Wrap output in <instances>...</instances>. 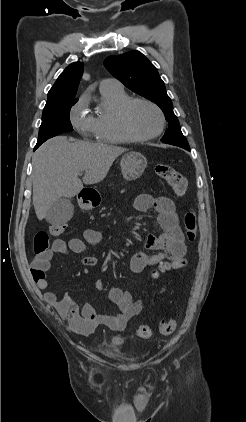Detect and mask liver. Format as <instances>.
<instances>
[{
    "instance_id": "liver-1",
    "label": "liver",
    "mask_w": 246,
    "mask_h": 422,
    "mask_svg": "<svg viewBox=\"0 0 246 422\" xmlns=\"http://www.w3.org/2000/svg\"><path fill=\"white\" fill-rule=\"evenodd\" d=\"M126 149L103 143L75 141L57 136L41 145L33 155V206L39 220L59 198H71L83 184L101 182L115 159ZM85 171L82 181L78 178Z\"/></svg>"
}]
</instances>
